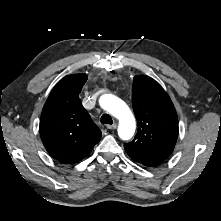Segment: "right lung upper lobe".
<instances>
[{
  "mask_svg": "<svg viewBox=\"0 0 221 221\" xmlns=\"http://www.w3.org/2000/svg\"><path fill=\"white\" fill-rule=\"evenodd\" d=\"M86 74H72L52 89L41 114L40 136L48 153L60 162L84 159L101 139V131L82 106L79 94Z\"/></svg>",
  "mask_w": 221,
  "mask_h": 221,
  "instance_id": "right-lung-upper-lobe-1",
  "label": "right lung upper lobe"
}]
</instances>
